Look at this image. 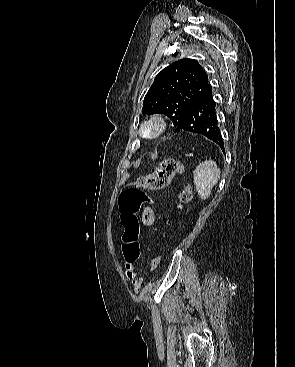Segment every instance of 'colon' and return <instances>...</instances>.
Returning <instances> with one entry per match:
<instances>
[{
	"label": "colon",
	"instance_id": "1",
	"mask_svg": "<svg viewBox=\"0 0 295 367\" xmlns=\"http://www.w3.org/2000/svg\"><path fill=\"white\" fill-rule=\"evenodd\" d=\"M184 171V165L176 159L163 160L158 168L151 174L143 175L124 189L119 197V211L121 225L123 227V253L127 260H136L139 256V224L137 213L140 205L155 206L157 200L154 194L144 193L145 190H162L167 188L174 176ZM153 198V199H152ZM192 198L190 186H185L179 193L176 209H181ZM160 264V258L155 257L151 267L156 269Z\"/></svg>",
	"mask_w": 295,
	"mask_h": 367
}]
</instances>
